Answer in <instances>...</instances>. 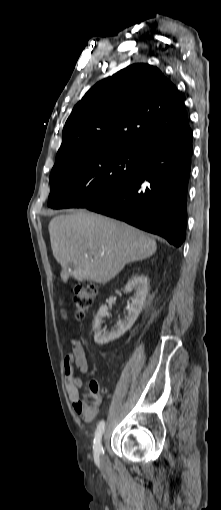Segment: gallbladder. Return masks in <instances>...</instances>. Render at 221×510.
<instances>
[{
	"label": "gallbladder",
	"instance_id": "gallbladder-1",
	"mask_svg": "<svg viewBox=\"0 0 221 510\" xmlns=\"http://www.w3.org/2000/svg\"><path fill=\"white\" fill-rule=\"evenodd\" d=\"M69 268H73V265H72V264H70V265H69Z\"/></svg>",
	"mask_w": 221,
	"mask_h": 510
}]
</instances>
